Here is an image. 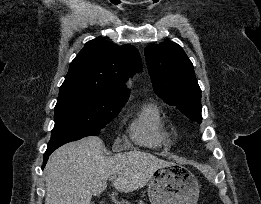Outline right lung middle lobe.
Segmentation results:
<instances>
[{
  "mask_svg": "<svg viewBox=\"0 0 261 204\" xmlns=\"http://www.w3.org/2000/svg\"><path fill=\"white\" fill-rule=\"evenodd\" d=\"M126 102L104 101L89 92L59 95L55 106V126L48 146H61L86 136H96Z\"/></svg>",
  "mask_w": 261,
  "mask_h": 204,
  "instance_id": "dd1d6c3e",
  "label": "right lung middle lobe"
}]
</instances>
